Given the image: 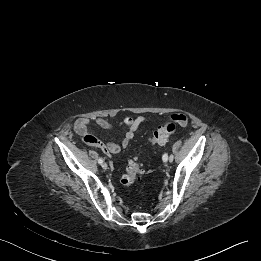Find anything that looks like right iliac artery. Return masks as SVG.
I'll return each mask as SVG.
<instances>
[{"label":"right iliac artery","mask_w":261,"mask_h":261,"mask_svg":"<svg viewBox=\"0 0 261 261\" xmlns=\"http://www.w3.org/2000/svg\"><path fill=\"white\" fill-rule=\"evenodd\" d=\"M98 163H99V164H102V163H103V159H102V158H99Z\"/></svg>","instance_id":"1"}]
</instances>
